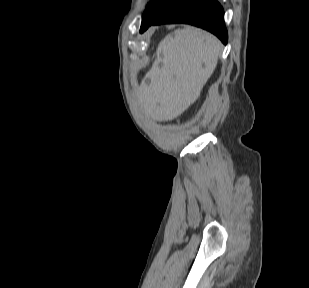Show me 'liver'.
<instances>
[{"instance_id": "obj_1", "label": "liver", "mask_w": 309, "mask_h": 288, "mask_svg": "<svg viewBox=\"0 0 309 288\" xmlns=\"http://www.w3.org/2000/svg\"><path fill=\"white\" fill-rule=\"evenodd\" d=\"M221 43L192 26L168 34L158 45L156 59L139 87V103L156 121H169L193 104L213 74ZM150 84H145V79Z\"/></svg>"}]
</instances>
